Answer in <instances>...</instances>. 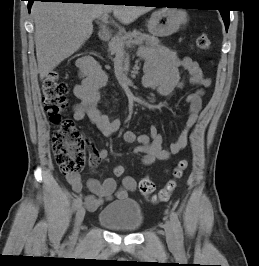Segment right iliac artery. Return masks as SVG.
<instances>
[{
	"mask_svg": "<svg viewBox=\"0 0 259 266\" xmlns=\"http://www.w3.org/2000/svg\"><path fill=\"white\" fill-rule=\"evenodd\" d=\"M81 205H82V197L78 196L73 202L72 210L76 211L81 207Z\"/></svg>",
	"mask_w": 259,
	"mask_h": 266,
	"instance_id": "82829eb1",
	"label": "right iliac artery"
}]
</instances>
